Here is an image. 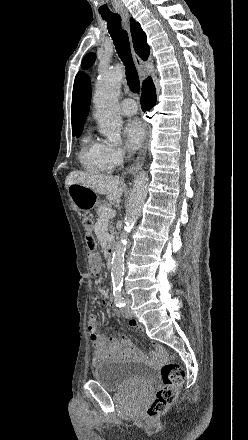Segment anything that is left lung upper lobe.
Listing matches in <instances>:
<instances>
[{
	"label": "left lung upper lobe",
	"mask_w": 248,
	"mask_h": 440,
	"mask_svg": "<svg viewBox=\"0 0 248 440\" xmlns=\"http://www.w3.org/2000/svg\"><path fill=\"white\" fill-rule=\"evenodd\" d=\"M94 61H95V54L89 53L84 57V59L82 61V67L88 68L94 63Z\"/></svg>",
	"instance_id": "obj_1"
}]
</instances>
